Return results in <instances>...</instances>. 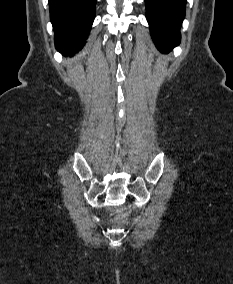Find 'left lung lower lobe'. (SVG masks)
<instances>
[{
  "label": "left lung lower lobe",
  "instance_id": "0a47b994",
  "mask_svg": "<svg viewBox=\"0 0 233 284\" xmlns=\"http://www.w3.org/2000/svg\"><path fill=\"white\" fill-rule=\"evenodd\" d=\"M151 36L162 53L179 45L186 0H145Z\"/></svg>",
  "mask_w": 233,
  "mask_h": 284
}]
</instances>
